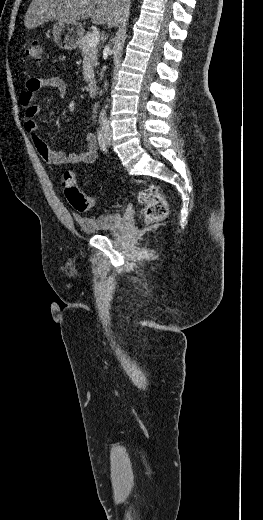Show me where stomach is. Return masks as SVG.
I'll return each mask as SVG.
<instances>
[{
  "label": "stomach",
  "mask_w": 263,
  "mask_h": 520,
  "mask_svg": "<svg viewBox=\"0 0 263 520\" xmlns=\"http://www.w3.org/2000/svg\"><path fill=\"white\" fill-rule=\"evenodd\" d=\"M52 33L54 41L59 47L65 50H73L78 47L84 29L78 22L59 20L54 24Z\"/></svg>",
  "instance_id": "obj_1"
}]
</instances>
